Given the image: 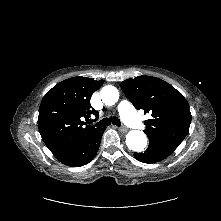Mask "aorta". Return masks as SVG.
<instances>
[{
    "instance_id": "aorta-1",
    "label": "aorta",
    "mask_w": 221,
    "mask_h": 221,
    "mask_svg": "<svg viewBox=\"0 0 221 221\" xmlns=\"http://www.w3.org/2000/svg\"><path fill=\"white\" fill-rule=\"evenodd\" d=\"M100 97L106 105H114L119 99V92L116 87L107 85L100 92ZM126 145L136 152H143L147 146L146 135L139 130H131L126 135Z\"/></svg>"
}]
</instances>
